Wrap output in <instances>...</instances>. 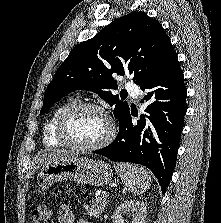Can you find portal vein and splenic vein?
Instances as JSON below:
<instances>
[{"instance_id":"1","label":"portal vein and splenic vein","mask_w":221,"mask_h":223,"mask_svg":"<svg viewBox=\"0 0 221 223\" xmlns=\"http://www.w3.org/2000/svg\"><path fill=\"white\" fill-rule=\"evenodd\" d=\"M102 195L103 196H108V193L107 192H102Z\"/></svg>"}]
</instances>
